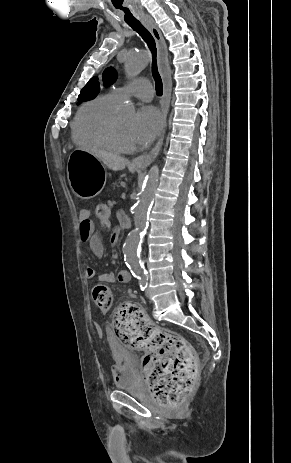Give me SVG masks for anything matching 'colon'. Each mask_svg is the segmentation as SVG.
Masks as SVG:
<instances>
[{
	"mask_svg": "<svg viewBox=\"0 0 291 463\" xmlns=\"http://www.w3.org/2000/svg\"><path fill=\"white\" fill-rule=\"evenodd\" d=\"M111 215L109 202L93 207L99 225L107 226ZM92 298L99 309L112 307L113 295L105 284L94 286ZM113 326L121 342L148 351L142 372L155 399L165 406L183 403L197 379V360L188 343L176 333L156 329L136 304H120L113 315Z\"/></svg>",
	"mask_w": 291,
	"mask_h": 463,
	"instance_id": "obj_1",
	"label": "colon"
}]
</instances>
